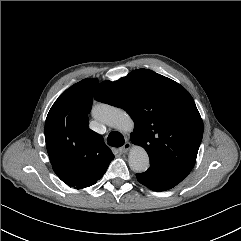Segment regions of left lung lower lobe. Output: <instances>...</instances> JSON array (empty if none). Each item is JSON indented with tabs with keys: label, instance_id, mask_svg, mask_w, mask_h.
<instances>
[{
	"label": "left lung lower lobe",
	"instance_id": "obj_1",
	"mask_svg": "<svg viewBox=\"0 0 241 241\" xmlns=\"http://www.w3.org/2000/svg\"><path fill=\"white\" fill-rule=\"evenodd\" d=\"M136 177L141 184L154 191L171 189L185 178L156 167H150L146 172L136 174Z\"/></svg>",
	"mask_w": 241,
	"mask_h": 241
}]
</instances>
